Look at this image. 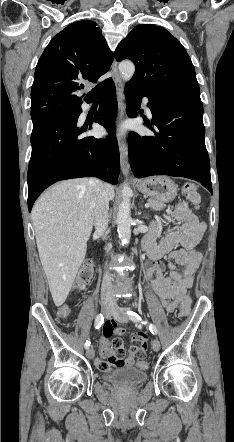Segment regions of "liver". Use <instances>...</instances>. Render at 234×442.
<instances>
[{
  "instance_id": "1",
  "label": "liver",
  "mask_w": 234,
  "mask_h": 442,
  "mask_svg": "<svg viewBox=\"0 0 234 442\" xmlns=\"http://www.w3.org/2000/svg\"><path fill=\"white\" fill-rule=\"evenodd\" d=\"M104 185L113 200V186ZM91 202L89 180L70 179L47 190L32 209L39 257L57 307L65 302L86 255L94 224Z\"/></svg>"
}]
</instances>
